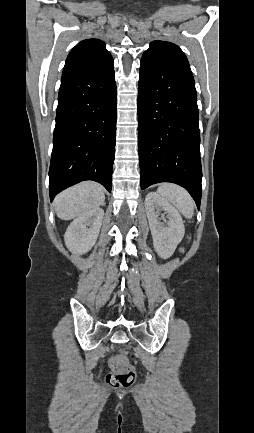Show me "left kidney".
<instances>
[{
	"mask_svg": "<svg viewBox=\"0 0 254 433\" xmlns=\"http://www.w3.org/2000/svg\"><path fill=\"white\" fill-rule=\"evenodd\" d=\"M145 210L153 237L154 249L162 259L169 258L184 237L185 228L182 217L164 198L150 192L145 198ZM160 210L168 216L167 226L158 221Z\"/></svg>",
	"mask_w": 254,
	"mask_h": 433,
	"instance_id": "left-kidney-1",
	"label": "left kidney"
}]
</instances>
